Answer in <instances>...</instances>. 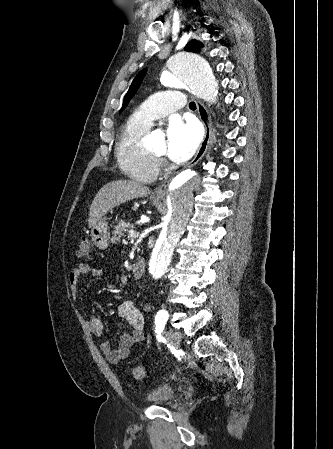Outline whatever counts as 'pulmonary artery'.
Wrapping results in <instances>:
<instances>
[{
  "label": "pulmonary artery",
  "mask_w": 333,
  "mask_h": 449,
  "mask_svg": "<svg viewBox=\"0 0 333 449\" xmlns=\"http://www.w3.org/2000/svg\"><path fill=\"white\" fill-rule=\"evenodd\" d=\"M185 96L177 90L160 91L149 97L136 111L134 118L150 127L154 120L168 112L183 108Z\"/></svg>",
  "instance_id": "obj_1"
}]
</instances>
